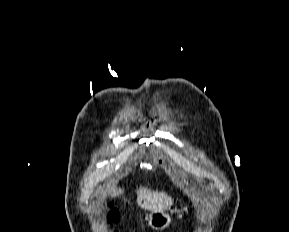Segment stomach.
Listing matches in <instances>:
<instances>
[{
  "label": "stomach",
  "mask_w": 289,
  "mask_h": 232,
  "mask_svg": "<svg viewBox=\"0 0 289 232\" xmlns=\"http://www.w3.org/2000/svg\"><path fill=\"white\" fill-rule=\"evenodd\" d=\"M183 210L187 211L186 208ZM179 217L182 216L180 211H177ZM146 220L148 221V225L157 231H162L163 229L167 228L171 223V217L169 213L165 211H150L149 214L146 216Z\"/></svg>",
  "instance_id": "1"
}]
</instances>
